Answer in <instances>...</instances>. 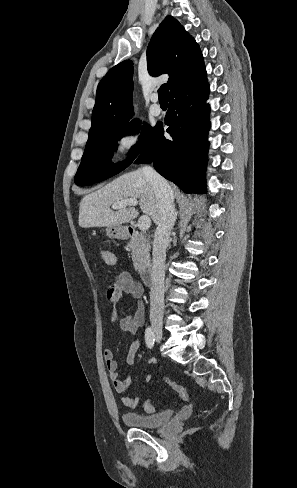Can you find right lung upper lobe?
Returning a JSON list of instances; mask_svg holds the SVG:
<instances>
[{
    "mask_svg": "<svg viewBox=\"0 0 297 488\" xmlns=\"http://www.w3.org/2000/svg\"><path fill=\"white\" fill-rule=\"evenodd\" d=\"M149 74H169L170 96L206 74L196 41L179 22L168 16L153 34L147 48ZM133 62L125 60L111 68L100 81L92 112L89 137L98 130L128 124L133 115Z\"/></svg>",
    "mask_w": 297,
    "mask_h": 488,
    "instance_id": "right-lung-upper-lobe-1",
    "label": "right lung upper lobe"
}]
</instances>
